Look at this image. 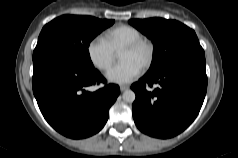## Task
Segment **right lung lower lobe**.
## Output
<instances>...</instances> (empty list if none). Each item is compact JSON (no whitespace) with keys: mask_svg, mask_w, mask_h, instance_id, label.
<instances>
[{"mask_svg":"<svg viewBox=\"0 0 238 158\" xmlns=\"http://www.w3.org/2000/svg\"><path fill=\"white\" fill-rule=\"evenodd\" d=\"M33 65V93L44 118L56 131L80 139L103 128L120 93L118 85L86 91L90 85L106 82L100 72L52 52L34 58Z\"/></svg>","mask_w":238,"mask_h":158,"instance_id":"right-lung-lower-lobe-1","label":"right lung lower lobe"}]
</instances>
